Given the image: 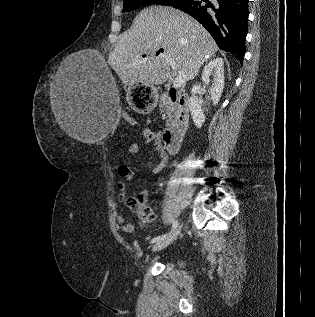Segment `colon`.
<instances>
[{"instance_id":"5ec220e1","label":"colon","mask_w":315,"mask_h":317,"mask_svg":"<svg viewBox=\"0 0 315 317\" xmlns=\"http://www.w3.org/2000/svg\"><path fill=\"white\" fill-rule=\"evenodd\" d=\"M125 121H127L130 125L136 126V121L128 114L124 115ZM128 207L134 211L142 224H148L153 221L154 215L151 209L142 202L140 197H130L127 200Z\"/></svg>"}]
</instances>
